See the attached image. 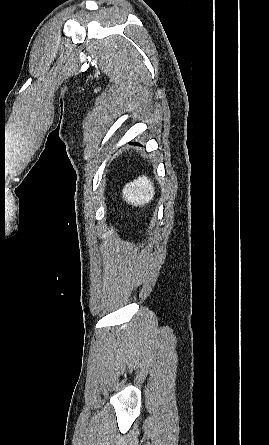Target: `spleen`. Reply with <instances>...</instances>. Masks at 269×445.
I'll return each mask as SVG.
<instances>
[{
    "label": "spleen",
    "mask_w": 269,
    "mask_h": 445,
    "mask_svg": "<svg viewBox=\"0 0 269 445\" xmlns=\"http://www.w3.org/2000/svg\"><path fill=\"white\" fill-rule=\"evenodd\" d=\"M123 199L133 206H143L149 203L155 195V188L146 176H139L133 182L127 183L122 190Z\"/></svg>",
    "instance_id": "obj_1"
}]
</instances>
